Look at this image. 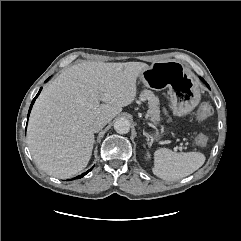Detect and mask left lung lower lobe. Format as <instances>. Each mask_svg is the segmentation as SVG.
<instances>
[{"mask_svg":"<svg viewBox=\"0 0 241 241\" xmlns=\"http://www.w3.org/2000/svg\"><path fill=\"white\" fill-rule=\"evenodd\" d=\"M201 80L208 86V84L201 78ZM209 87V86H208Z\"/></svg>","mask_w":241,"mask_h":241,"instance_id":"obj_1","label":"left lung lower lobe"}]
</instances>
